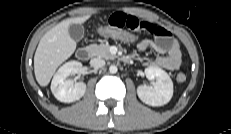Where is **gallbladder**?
Returning a JSON list of instances; mask_svg holds the SVG:
<instances>
[{"label":"gallbladder","mask_w":231,"mask_h":134,"mask_svg":"<svg viewBox=\"0 0 231 134\" xmlns=\"http://www.w3.org/2000/svg\"><path fill=\"white\" fill-rule=\"evenodd\" d=\"M70 37L75 41H80L84 35V27L81 24H71L68 28Z\"/></svg>","instance_id":"bac80fb5"}]
</instances>
